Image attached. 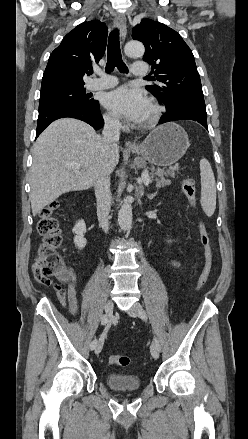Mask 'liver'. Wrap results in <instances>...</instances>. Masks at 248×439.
Returning <instances> with one entry per match:
<instances>
[{
	"instance_id": "6515ba94",
	"label": "liver",
	"mask_w": 248,
	"mask_h": 439,
	"mask_svg": "<svg viewBox=\"0 0 248 439\" xmlns=\"http://www.w3.org/2000/svg\"><path fill=\"white\" fill-rule=\"evenodd\" d=\"M68 162L81 164L74 170ZM119 162L117 148H108L87 123L63 118L51 123L33 146L30 201L35 216L64 193L92 187L104 171L112 173Z\"/></svg>"
}]
</instances>
